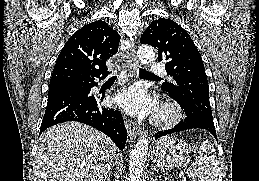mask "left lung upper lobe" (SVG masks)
Masks as SVG:
<instances>
[{
	"mask_svg": "<svg viewBox=\"0 0 259 181\" xmlns=\"http://www.w3.org/2000/svg\"><path fill=\"white\" fill-rule=\"evenodd\" d=\"M140 43L157 48L158 62L165 63L175 80L161 88L194 112L213 118L204 64L189 34L174 21L160 18L148 26Z\"/></svg>",
	"mask_w": 259,
	"mask_h": 181,
	"instance_id": "1",
	"label": "left lung upper lobe"
}]
</instances>
